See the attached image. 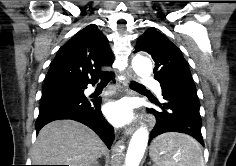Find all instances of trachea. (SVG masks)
<instances>
[{
	"label": "trachea",
	"mask_w": 236,
	"mask_h": 166,
	"mask_svg": "<svg viewBox=\"0 0 236 166\" xmlns=\"http://www.w3.org/2000/svg\"><path fill=\"white\" fill-rule=\"evenodd\" d=\"M109 83V78L107 77H101V82L99 83V85H104L106 86L107 84ZM131 88L133 89H145V87L141 84H138V83H132L131 85Z\"/></svg>",
	"instance_id": "obj_1"
}]
</instances>
